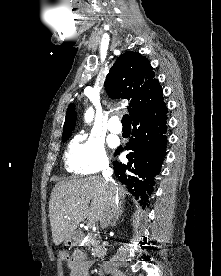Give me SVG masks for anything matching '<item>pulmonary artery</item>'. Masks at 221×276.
<instances>
[{
  "label": "pulmonary artery",
  "mask_w": 221,
  "mask_h": 276,
  "mask_svg": "<svg viewBox=\"0 0 221 276\" xmlns=\"http://www.w3.org/2000/svg\"><path fill=\"white\" fill-rule=\"evenodd\" d=\"M108 129L112 133L119 134L122 131L121 123L119 122V118L117 116H113L108 122Z\"/></svg>",
  "instance_id": "obj_1"
}]
</instances>
